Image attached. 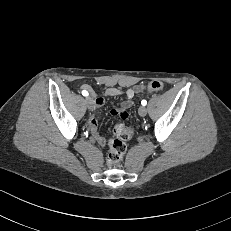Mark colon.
I'll list each match as a JSON object with an SVG mask.
<instances>
[{
	"label": "colon",
	"mask_w": 231,
	"mask_h": 231,
	"mask_svg": "<svg viewBox=\"0 0 231 231\" xmlns=\"http://www.w3.org/2000/svg\"><path fill=\"white\" fill-rule=\"evenodd\" d=\"M164 88V84L161 81H151L144 88L145 92L159 91ZM122 119L128 117L127 113L120 115ZM114 137L110 139L108 143L109 152L106 157V166L113 167L118 164L126 151L125 141L131 139L136 134V130L133 127H126L120 123L116 124L113 128Z\"/></svg>",
	"instance_id": "1"
}]
</instances>
